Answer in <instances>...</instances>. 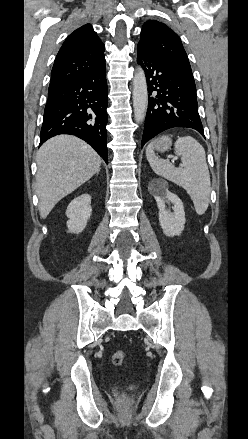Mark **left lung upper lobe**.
<instances>
[{
    "instance_id": "5c2ea615",
    "label": "left lung upper lobe",
    "mask_w": 248,
    "mask_h": 439,
    "mask_svg": "<svg viewBox=\"0 0 248 439\" xmlns=\"http://www.w3.org/2000/svg\"><path fill=\"white\" fill-rule=\"evenodd\" d=\"M138 46L153 55L181 65L189 70L191 66L179 36L165 24L149 20L141 30Z\"/></svg>"
}]
</instances>
